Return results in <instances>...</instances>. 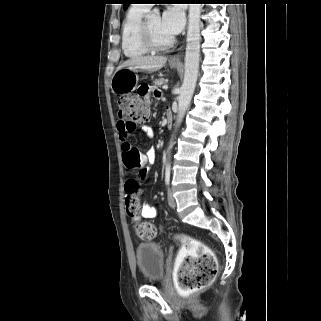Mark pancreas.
Wrapping results in <instances>:
<instances>
[{"label":"pancreas","instance_id":"obj_1","mask_svg":"<svg viewBox=\"0 0 321 321\" xmlns=\"http://www.w3.org/2000/svg\"><path fill=\"white\" fill-rule=\"evenodd\" d=\"M154 88H157V87H160V86H162L163 84H165L166 83V80L164 79V78H159V79H156V80H154Z\"/></svg>","mask_w":321,"mask_h":321}]
</instances>
